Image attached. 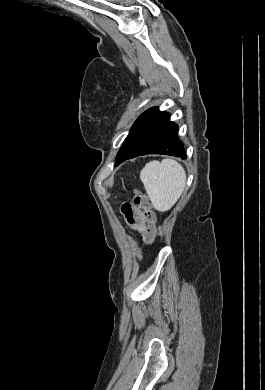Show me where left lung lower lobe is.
Masks as SVG:
<instances>
[{"instance_id": "left-lung-lower-lobe-1", "label": "left lung lower lobe", "mask_w": 265, "mask_h": 390, "mask_svg": "<svg viewBox=\"0 0 265 390\" xmlns=\"http://www.w3.org/2000/svg\"><path fill=\"white\" fill-rule=\"evenodd\" d=\"M178 127L170 121L169 113L157 107L142 113L133 124L115 166L125 160L148 154H163L186 159L183 143L177 137Z\"/></svg>"}]
</instances>
